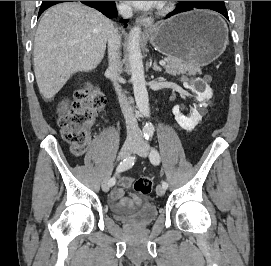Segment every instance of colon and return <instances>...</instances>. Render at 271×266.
<instances>
[{
    "mask_svg": "<svg viewBox=\"0 0 271 266\" xmlns=\"http://www.w3.org/2000/svg\"><path fill=\"white\" fill-rule=\"evenodd\" d=\"M104 104L103 94L94 86L87 84L77 91L69 111L59 120L63 139L70 144L75 155H82L90 143L89 128L94 123L97 113ZM133 188L143 196H148L153 189L151 178H138Z\"/></svg>",
    "mask_w": 271,
    "mask_h": 266,
    "instance_id": "colon-1",
    "label": "colon"
}]
</instances>
